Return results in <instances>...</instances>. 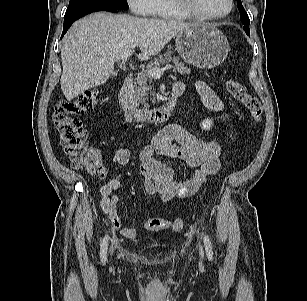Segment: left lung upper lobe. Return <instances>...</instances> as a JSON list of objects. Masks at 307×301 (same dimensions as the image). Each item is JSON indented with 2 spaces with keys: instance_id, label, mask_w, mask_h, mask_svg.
<instances>
[{
  "instance_id": "1",
  "label": "left lung upper lobe",
  "mask_w": 307,
  "mask_h": 301,
  "mask_svg": "<svg viewBox=\"0 0 307 301\" xmlns=\"http://www.w3.org/2000/svg\"><path fill=\"white\" fill-rule=\"evenodd\" d=\"M237 2H238V4H237L238 9H239V12H240V18H241V21L244 24V30L247 34H249V27H248V25L250 24L249 17L247 15V12L245 11L244 7L242 6L241 0H237Z\"/></svg>"
}]
</instances>
